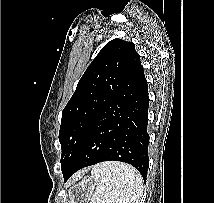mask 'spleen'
<instances>
[{"label":"spleen","mask_w":214,"mask_h":203,"mask_svg":"<svg viewBox=\"0 0 214 203\" xmlns=\"http://www.w3.org/2000/svg\"><path fill=\"white\" fill-rule=\"evenodd\" d=\"M96 189L91 203H139L143 179L132 166L104 162L92 168Z\"/></svg>","instance_id":"obj_1"}]
</instances>
